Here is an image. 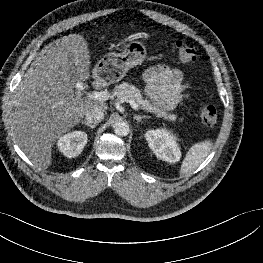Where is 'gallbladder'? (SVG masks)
<instances>
[{"label": "gallbladder", "instance_id": "bac80fb5", "mask_svg": "<svg viewBox=\"0 0 263 263\" xmlns=\"http://www.w3.org/2000/svg\"><path fill=\"white\" fill-rule=\"evenodd\" d=\"M69 77H70V80L73 84H76L79 81L78 76L74 73H70Z\"/></svg>", "mask_w": 263, "mask_h": 263}]
</instances>
